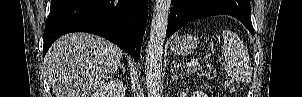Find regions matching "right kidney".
<instances>
[{
    "label": "right kidney",
    "instance_id": "right-kidney-1",
    "mask_svg": "<svg viewBox=\"0 0 302 97\" xmlns=\"http://www.w3.org/2000/svg\"><path fill=\"white\" fill-rule=\"evenodd\" d=\"M110 92H116L118 97H125V88L120 80H110L98 89L91 97H107Z\"/></svg>",
    "mask_w": 302,
    "mask_h": 97
}]
</instances>
